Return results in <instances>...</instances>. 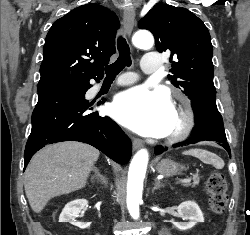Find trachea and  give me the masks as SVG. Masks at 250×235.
I'll return each mask as SVG.
<instances>
[{
    "label": "trachea",
    "mask_w": 250,
    "mask_h": 235,
    "mask_svg": "<svg viewBox=\"0 0 250 235\" xmlns=\"http://www.w3.org/2000/svg\"><path fill=\"white\" fill-rule=\"evenodd\" d=\"M117 47L119 51L118 59L105 67L107 78H114L123 68L131 66L130 48L126 40L120 36L117 40Z\"/></svg>",
    "instance_id": "trachea-1"
}]
</instances>
